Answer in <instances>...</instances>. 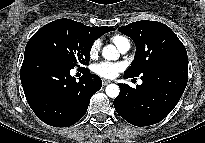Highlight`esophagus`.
<instances>
[{
    "instance_id": "34e87169",
    "label": "esophagus",
    "mask_w": 205,
    "mask_h": 143,
    "mask_svg": "<svg viewBox=\"0 0 205 143\" xmlns=\"http://www.w3.org/2000/svg\"><path fill=\"white\" fill-rule=\"evenodd\" d=\"M109 83H110L109 80H106V79H103V80H102L103 86H106V85H108Z\"/></svg>"
}]
</instances>
